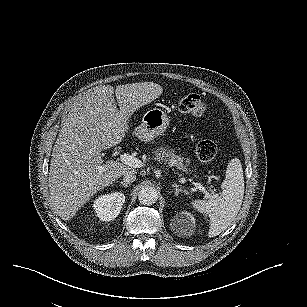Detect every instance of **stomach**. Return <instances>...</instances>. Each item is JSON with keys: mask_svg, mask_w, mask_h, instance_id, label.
<instances>
[{"mask_svg": "<svg viewBox=\"0 0 307 307\" xmlns=\"http://www.w3.org/2000/svg\"><path fill=\"white\" fill-rule=\"evenodd\" d=\"M170 118L159 108L148 110L142 117V123L135 127L132 135L143 142L153 141L161 136L169 126Z\"/></svg>", "mask_w": 307, "mask_h": 307, "instance_id": "obj_1", "label": "stomach"}]
</instances>
